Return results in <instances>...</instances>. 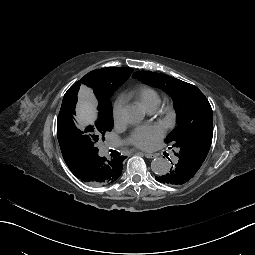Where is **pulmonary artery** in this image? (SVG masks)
Masks as SVG:
<instances>
[{
	"label": "pulmonary artery",
	"instance_id": "1",
	"mask_svg": "<svg viewBox=\"0 0 255 255\" xmlns=\"http://www.w3.org/2000/svg\"><path fill=\"white\" fill-rule=\"evenodd\" d=\"M149 112L150 113H154L155 111H149ZM134 136L136 138H139L141 136V133L139 131H136L134 133ZM109 147L112 148L111 146H109ZM169 156H170V158H169L170 163H172V164L177 163V161H178V153H177V151H175V150L170 151Z\"/></svg>",
	"mask_w": 255,
	"mask_h": 255
}]
</instances>
